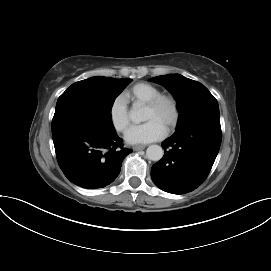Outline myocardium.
Returning a JSON list of instances; mask_svg holds the SVG:
<instances>
[{"instance_id":"myocardium-1","label":"myocardium","mask_w":271,"mask_h":271,"mask_svg":"<svg viewBox=\"0 0 271 271\" xmlns=\"http://www.w3.org/2000/svg\"><path fill=\"white\" fill-rule=\"evenodd\" d=\"M167 102L172 108V118L166 128L167 132L174 130L179 122L180 107L177 99L171 94H159L148 102L145 103V107L149 109H156L162 103Z\"/></svg>"}]
</instances>
